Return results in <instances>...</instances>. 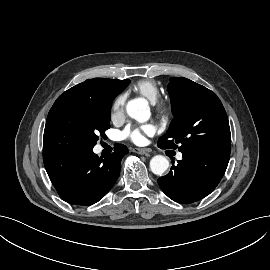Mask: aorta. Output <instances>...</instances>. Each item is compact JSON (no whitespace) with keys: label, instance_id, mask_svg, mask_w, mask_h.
Returning <instances> with one entry per match:
<instances>
[{"label":"aorta","instance_id":"1","mask_svg":"<svg viewBox=\"0 0 270 270\" xmlns=\"http://www.w3.org/2000/svg\"><path fill=\"white\" fill-rule=\"evenodd\" d=\"M126 110L131 118L139 122H145L150 117L148 102L142 98H136L129 101ZM168 167L169 161L162 155H156L150 161V169L156 175H162Z\"/></svg>","mask_w":270,"mask_h":270}]
</instances>
